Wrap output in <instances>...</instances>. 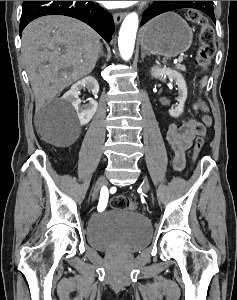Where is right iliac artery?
Listing matches in <instances>:
<instances>
[{"mask_svg":"<svg viewBox=\"0 0 237 300\" xmlns=\"http://www.w3.org/2000/svg\"><path fill=\"white\" fill-rule=\"evenodd\" d=\"M104 191L106 192V189H105L104 186H103V188L101 189V192H100V200H99L98 207H97L98 210H99V209L104 210L105 207H106V205H107V201H108L107 195H105V197L102 196V193H103Z\"/></svg>","mask_w":237,"mask_h":300,"instance_id":"obj_1","label":"right iliac artery"}]
</instances>
